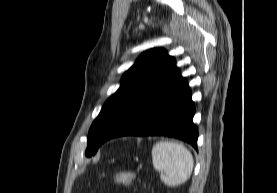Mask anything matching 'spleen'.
<instances>
[{
    "mask_svg": "<svg viewBox=\"0 0 277 193\" xmlns=\"http://www.w3.org/2000/svg\"><path fill=\"white\" fill-rule=\"evenodd\" d=\"M152 163L160 172L161 181L169 187L185 183L194 167L193 156L184 145L166 141L153 146Z\"/></svg>",
    "mask_w": 277,
    "mask_h": 193,
    "instance_id": "obj_1",
    "label": "spleen"
}]
</instances>
